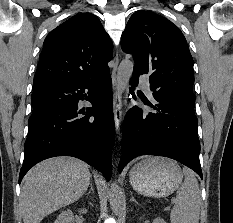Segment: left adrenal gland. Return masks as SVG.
Returning a JSON list of instances; mask_svg holds the SVG:
<instances>
[{"label": "left adrenal gland", "instance_id": "left-adrenal-gland-1", "mask_svg": "<svg viewBox=\"0 0 233 223\" xmlns=\"http://www.w3.org/2000/svg\"><path fill=\"white\" fill-rule=\"evenodd\" d=\"M130 201H135V203H137V205H141V203H138V201H136V199H135L132 191H131V199H130Z\"/></svg>", "mask_w": 233, "mask_h": 223}]
</instances>
